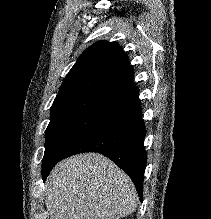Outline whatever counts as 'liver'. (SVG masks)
<instances>
[{"instance_id":"obj_1","label":"liver","mask_w":211,"mask_h":219,"mask_svg":"<svg viewBox=\"0 0 211 219\" xmlns=\"http://www.w3.org/2000/svg\"><path fill=\"white\" fill-rule=\"evenodd\" d=\"M45 195L51 219H120L137 207L131 179L98 153L59 162L49 174Z\"/></svg>"}]
</instances>
